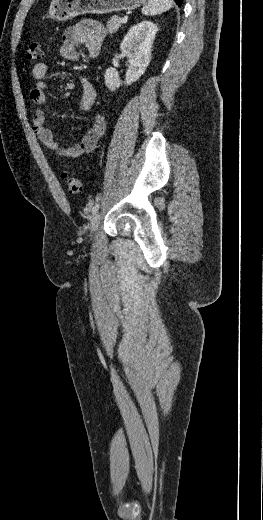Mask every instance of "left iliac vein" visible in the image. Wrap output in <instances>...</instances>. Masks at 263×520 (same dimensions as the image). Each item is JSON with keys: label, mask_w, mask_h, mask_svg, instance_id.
<instances>
[{"label": "left iliac vein", "mask_w": 263, "mask_h": 520, "mask_svg": "<svg viewBox=\"0 0 263 520\" xmlns=\"http://www.w3.org/2000/svg\"><path fill=\"white\" fill-rule=\"evenodd\" d=\"M101 215L100 213H95L91 220V233H95V231L98 229L99 223H100Z\"/></svg>", "instance_id": "obj_1"}]
</instances>
